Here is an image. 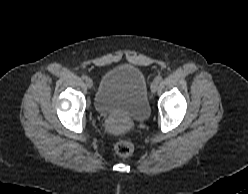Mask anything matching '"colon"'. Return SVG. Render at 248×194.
I'll return each mask as SVG.
<instances>
[{
  "mask_svg": "<svg viewBox=\"0 0 248 194\" xmlns=\"http://www.w3.org/2000/svg\"><path fill=\"white\" fill-rule=\"evenodd\" d=\"M115 152L122 157H127L132 154L134 146L129 140H120L114 146Z\"/></svg>",
  "mask_w": 248,
  "mask_h": 194,
  "instance_id": "1",
  "label": "colon"
}]
</instances>
